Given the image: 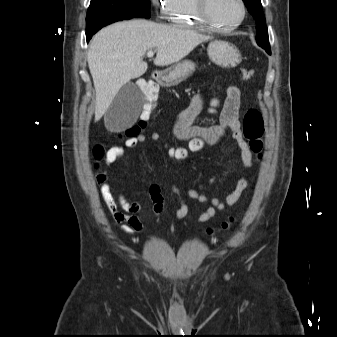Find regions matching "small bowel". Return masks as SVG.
<instances>
[{
	"mask_svg": "<svg viewBox=\"0 0 337 337\" xmlns=\"http://www.w3.org/2000/svg\"><path fill=\"white\" fill-rule=\"evenodd\" d=\"M240 105L241 92L239 88L236 86H230L227 88L225 101L219 109V124L198 126L193 124L194 118L205 110L206 105L204 97L197 96L177 118L173 125L172 133L176 139L187 141L189 144L191 140H202L203 144L207 145L217 144L229 135L232 140L237 143L240 149V158L243 166L250 168L253 164V153L249 145L243 139L240 128ZM146 140L147 137L143 134L128 138L125 141V148H135L139 144L144 143ZM149 140L152 142L159 141V133H151ZM125 148L122 146L110 147L105 155V164L109 166L122 158ZM218 179L219 176H215L205 183H201L190 188L188 191V195L191 199L200 203L209 204V207L206 208L197 218V222L200 224L211 220L218 211H224L235 205L240 200L243 192L248 186L247 179L240 178L237 181L235 188L223 199L217 196L200 193L201 189L213 184ZM97 183L100 186L102 200L107 210L112 215L114 222L120 225L121 230L126 234L141 232L144 225L137 215L140 211V204L136 201L128 200L122 192H114L110 183V173L108 170H104L97 175ZM171 189L179 202V208L176 211L175 221H180L187 216L189 209L182 197L181 190L176 185H172ZM149 195L151 201L153 202L154 215L155 217H159L164 208L160 186L152 184L149 188Z\"/></svg>",
	"mask_w": 337,
	"mask_h": 337,
	"instance_id": "c3829d8e",
	"label": "small bowel"
}]
</instances>
